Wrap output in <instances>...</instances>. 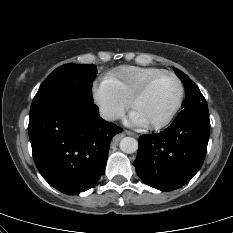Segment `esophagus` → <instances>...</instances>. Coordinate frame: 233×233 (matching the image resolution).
Listing matches in <instances>:
<instances>
[{
    "label": "esophagus",
    "instance_id": "1",
    "mask_svg": "<svg viewBox=\"0 0 233 233\" xmlns=\"http://www.w3.org/2000/svg\"><path fill=\"white\" fill-rule=\"evenodd\" d=\"M126 134L131 135V136H134V135H135L134 133H132V132H130V131H126Z\"/></svg>",
    "mask_w": 233,
    "mask_h": 233
}]
</instances>
